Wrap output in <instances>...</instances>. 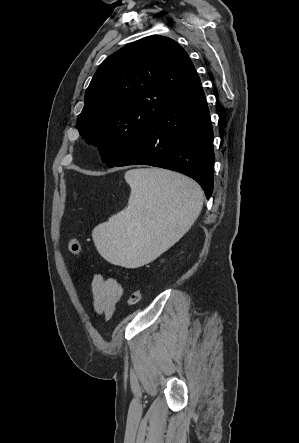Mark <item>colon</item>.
Here are the masks:
<instances>
[{
    "label": "colon",
    "instance_id": "1",
    "mask_svg": "<svg viewBox=\"0 0 299 443\" xmlns=\"http://www.w3.org/2000/svg\"><path fill=\"white\" fill-rule=\"evenodd\" d=\"M68 247L69 250L75 255H81L82 248L80 242L74 237L70 236L68 239ZM141 291L139 289H135L130 293L128 303L131 306L137 305L141 300Z\"/></svg>",
    "mask_w": 299,
    "mask_h": 443
}]
</instances>
